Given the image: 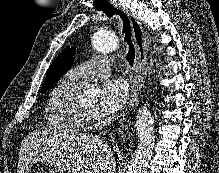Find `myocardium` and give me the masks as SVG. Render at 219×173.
Returning a JSON list of instances; mask_svg holds the SVG:
<instances>
[{
  "label": "myocardium",
  "mask_w": 219,
  "mask_h": 173,
  "mask_svg": "<svg viewBox=\"0 0 219 173\" xmlns=\"http://www.w3.org/2000/svg\"><path fill=\"white\" fill-rule=\"evenodd\" d=\"M76 110L78 115L85 121V122H92L95 119V114L87 112L78 101H76Z\"/></svg>",
  "instance_id": "1"
}]
</instances>
